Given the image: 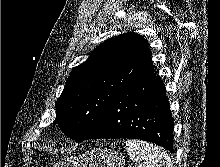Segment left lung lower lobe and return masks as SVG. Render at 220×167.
<instances>
[{"label": "left lung lower lobe", "mask_w": 220, "mask_h": 167, "mask_svg": "<svg viewBox=\"0 0 220 167\" xmlns=\"http://www.w3.org/2000/svg\"><path fill=\"white\" fill-rule=\"evenodd\" d=\"M173 118L166 89L152 71L125 86L85 139L135 138L173 152Z\"/></svg>", "instance_id": "obj_1"}]
</instances>
